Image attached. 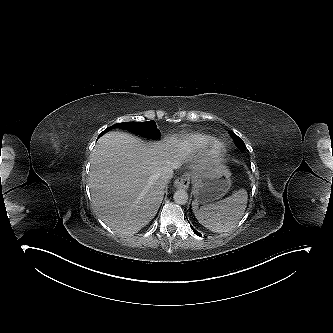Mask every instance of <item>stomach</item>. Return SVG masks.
Wrapping results in <instances>:
<instances>
[{
    "instance_id": "obj_1",
    "label": "stomach",
    "mask_w": 333,
    "mask_h": 333,
    "mask_svg": "<svg viewBox=\"0 0 333 333\" xmlns=\"http://www.w3.org/2000/svg\"><path fill=\"white\" fill-rule=\"evenodd\" d=\"M230 172L223 166L196 176L193 195L196 203L207 204L222 198L231 186Z\"/></svg>"
}]
</instances>
